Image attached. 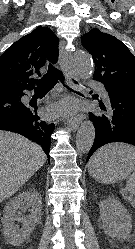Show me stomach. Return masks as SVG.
<instances>
[{"mask_svg": "<svg viewBox=\"0 0 135 249\" xmlns=\"http://www.w3.org/2000/svg\"><path fill=\"white\" fill-rule=\"evenodd\" d=\"M135 169V162L120 156L108 155L89 165L93 178L103 183H115L124 180Z\"/></svg>", "mask_w": 135, "mask_h": 249, "instance_id": "obj_1", "label": "stomach"}]
</instances>
